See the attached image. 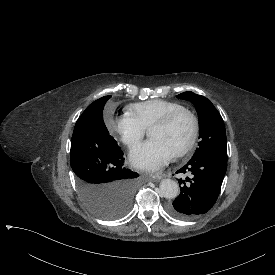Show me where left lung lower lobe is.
Instances as JSON below:
<instances>
[{"mask_svg": "<svg viewBox=\"0 0 275 275\" xmlns=\"http://www.w3.org/2000/svg\"><path fill=\"white\" fill-rule=\"evenodd\" d=\"M227 169V153L213 152L191 159L176 173L191 172L193 178L181 187L180 195L168 206V212L179 219H190L206 213L215 204Z\"/></svg>", "mask_w": 275, "mask_h": 275, "instance_id": "1", "label": "left lung lower lobe"}]
</instances>
